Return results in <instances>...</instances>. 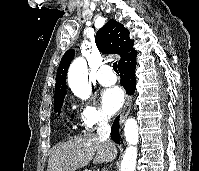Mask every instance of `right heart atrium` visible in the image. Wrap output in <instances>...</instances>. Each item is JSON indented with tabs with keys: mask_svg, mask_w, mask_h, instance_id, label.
<instances>
[{
	"mask_svg": "<svg viewBox=\"0 0 199 171\" xmlns=\"http://www.w3.org/2000/svg\"><path fill=\"white\" fill-rule=\"evenodd\" d=\"M109 117L91 101L81 102L78 124L83 131H92L97 126L108 123Z\"/></svg>",
	"mask_w": 199,
	"mask_h": 171,
	"instance_id": "obj_1",
	"label": "right heart atrium"
}]
</instances>
